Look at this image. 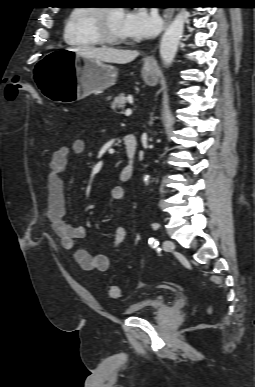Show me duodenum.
I'll return each mask as SVG.
<instances>
[{
	"label": "duodenum",
	"mask_w": 255,
	"mask_h": 387,
	"mask_svg": "<svg viewBox=\"0 0 255 387\" xmlns=\"http://www.w3.org/2000/svg\"><path fill=\"white\" fill-rule=\"evenodd\" d=\"M127 164L122 168L120 177L122 180H129L134 172V159L137 153V140L134 135L128 134L124 137Z\"/></svg>",
	"instance_id": "duodenum-1"
}]
</instances>
